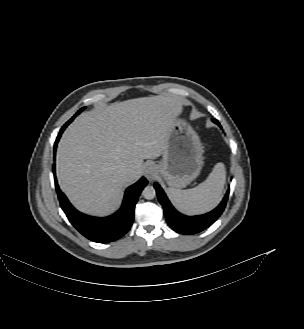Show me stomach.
I'll return each instance as SVG.
<instances>
[{
  "label": "stomach",
  "mask_w": 304,
  "mask_h": 329,
  "mask_svg": "<svg viewBox=\"0 0 304 329\" xmlns=\"http://www.w3.org/2000/svg\"><path fill=\"white\" fill-rule=\"evenodd\" d=\"M203 147L193 128L176 118L169 132L157 172L172 188H183L197 178L203 165Z\"/></svg>",
  "instance_id": "1"
}]
</instances>
